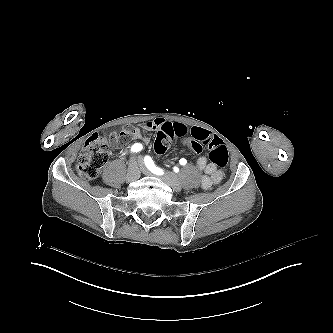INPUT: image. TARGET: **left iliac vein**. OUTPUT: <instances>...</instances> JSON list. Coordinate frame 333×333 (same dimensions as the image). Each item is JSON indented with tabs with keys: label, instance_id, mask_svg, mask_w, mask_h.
I'll return each instance as SVG.
<instances>
[{
	"label": "left iliac vein",
	"instance_id": "1",
	"mask_svg": "<svg viewBox=\"0 0 333 333\" xmlns=\"http://www.w3.org/2000/svg\"><path fill=\"white\" fill-rule=\"evenodd\" d=\"M138 167L141 170L142 173L146 175H152L150 170L146 168L142 160H138ZM162 179L175 191H181L182 185L179 181V178L177 176H173L170 173H165L162 176Z\"/></svg>",
	"mask_w": 333,
	"mask_h": 333
}]
</instances>
